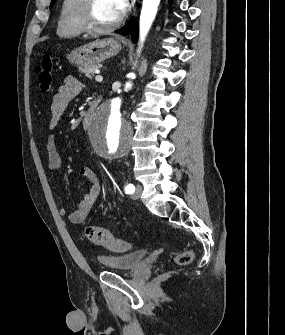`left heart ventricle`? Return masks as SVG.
<instances>
[{"label": "left heart ventricle", "mask_w": 285, "mask_h": 335, "mask_svg": "<svg viewBox=\"0 0 285 335\" xmlns=\"http://www.w3.org/2000/svg\"><path fill=\"white\" fill-rule=\"evenodd\" d=\"M119 1H94L93 21L98 27H107L119 18L117 6Z\"/></svg>", "instance_id": "1"}]
</instances>
